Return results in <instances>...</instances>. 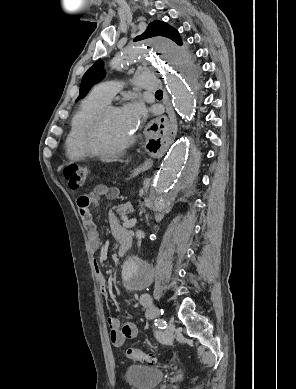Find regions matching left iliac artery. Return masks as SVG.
Masks as SVG:
<instances>
[{"label":"left iliac artery","mask_w":296,"mask_h":389,"mask_svg":"<svg viewBox=\"0 0 296 389\" xmlns=\"http://www.w3.org/2000/svg\"><path fill=\"white\" fill-rule=\"evenodd\" d=\"M155 325L158 326V328L160 329H165L167 326L166 321L163 319L160 320L155 319Z\"/></svg>","instance_id":"left-iliac-artery-1"}]
</instances>
